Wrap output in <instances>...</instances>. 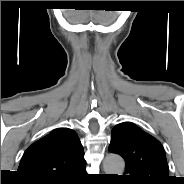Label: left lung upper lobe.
Instances as JSON below:
<instances>
[{
    "mask_svg": "<svg viewBox=\"0 0 184 184\" xmlns=\"http://www.w3.org/2000/svg\"><path fill=\"white\" fill-rule=\"evenodd\" d=\"M109 151L125 160L126 180L132 184H168L171 180L161 143L132 122L112 129Z\"/></svg>",
    "mask_w": 184,
    "mask_h": 184,
    "instance_id": "obj_1",
    "label": "left lung upper lobe"
}]
</instances>
